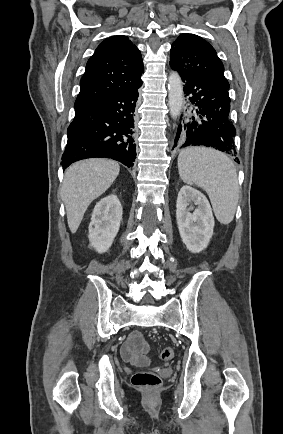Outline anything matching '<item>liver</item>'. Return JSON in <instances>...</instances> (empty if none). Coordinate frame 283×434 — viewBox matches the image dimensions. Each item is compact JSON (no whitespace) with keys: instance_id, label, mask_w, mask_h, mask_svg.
I'll use <instances>...</instances> for the list:
<instances>
[{"instance_id":"liver-1","label":"liver","mask_w":283,"mask_h":434,"mask_svg":"<svg viewBox=\"0 0 283 434\" xmlns=\"http://www.w3.org/2000/svg\"><path fill=\"white\" fill-rule=\"evenodd\" d=\"M119 171L117 162L100 158L79 161L65 171L61 198L72 233L77 231L90 203L113 184Z\"/></svg>"}]
</instances>
